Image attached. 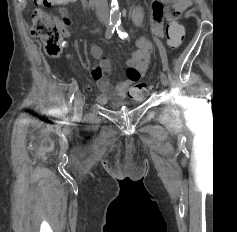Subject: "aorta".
Listing matches in <instances>:
<instances>
[{"instance_id": "aorta-1", "label": "aorta", "mask_w": 237, "mask_h": 232, "mask_svg": "<svg viewBox=\"0 0 237 232\" xmlns=\"http://www.w3.org/2000/svg\"><path fill=\"white\" fill-rule=\"evenodd\" d=\"M110 21L112 23H119L121 21V12L117 0H111Z\"/></svg>"}]
</instances>
